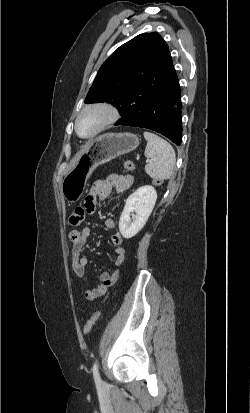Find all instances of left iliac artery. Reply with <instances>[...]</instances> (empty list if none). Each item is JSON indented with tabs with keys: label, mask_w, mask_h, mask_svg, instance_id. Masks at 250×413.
Here are the masks:
<instances>
[{
	"label": "left iliac artery",
	"mask_w": 250,
	"mask_h": 413,
	"mask_svg": "<svg viewBox=\"0 0 250 413\" xmlns=\"http://www.w3.org/2000/svg\"><path fill=\"white\" fill-rule=\"evenodd\" d=\"M92 371H93V376H94L95 381L98 382V383L101 382L100 375H99V372H98L97 361L94 363Z\"/></svg>",
	"instance_id": "left-iliac-artery-1"
}]
</instances>
